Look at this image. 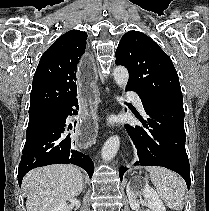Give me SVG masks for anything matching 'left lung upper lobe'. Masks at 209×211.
<instances>
[{
  "instance_id": "left-lung-upper-lobe-1",
  "label": "left lung upper lobe",
  "mask_w": 209,
  "mask_h": 211,
  "mask_svg": "<svg viewBox=\"0 0 209 211\" xmlns=\"http://www.w3.org/2000/svg\"><path fill=\"white\" fill-rule=\"evenodd\" d=\"M117 65L129 71L127 87L150 102L183 105L178 74L170 57L147 35L129 31L116 50Z\"/></svg>"
}]
</instances>
